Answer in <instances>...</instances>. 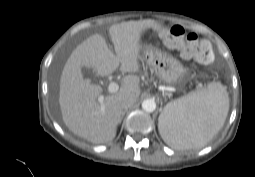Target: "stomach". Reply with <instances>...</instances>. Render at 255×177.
Wrapping results in <instances>:
<instances>
[{
    "label": "stomach",
    "instance_id": "1",
    "mask_svg": "<svg viewBox=\"0 0 255 177\" xmlns=\"http://www.w3.org/2000/svg\"><path fill=\"white\" fill-rule=\"evenodd\" d=\"M143 59L154 70L155 74L165 83L177 84L184 75L183 65L171 55L158 48L146 46L143 49Z\"/></svg>",
    "mask_w": 255,
    "mask_h": 177
}]
</instances>
